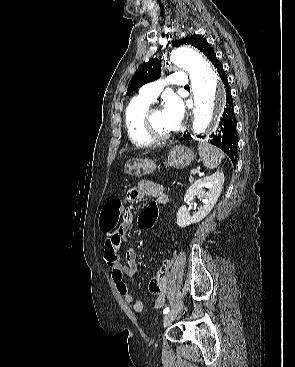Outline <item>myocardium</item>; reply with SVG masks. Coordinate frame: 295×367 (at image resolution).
Segmentation results:
<instances>
[{"label":"myocardium","instance_id":"myocardium-1","mask_svg":"<svg viewBox=\"0 0 295 367\" xmlns=\"http://www.w3.org/2000/svg\"><path fill=\"white\" fill-rule=\"evenodd\" d=\"M159 108L156 106H150L145 114H144V118H143V127L145 130V133L147 134V136L149 138H151L154 142H163V141H167L170 140L174 134L170 133V134H164L159 132L154 124H153V113L158 110Z\"/></svg>","mask_w":295,"mask_h":367}]
</instances>
